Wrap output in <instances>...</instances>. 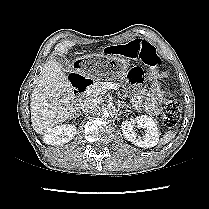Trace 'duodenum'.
Listing matches in <instances>:
<instances>
[{
  "label": "duodenum",
  "instance_id": "410a0bca",
  "mask_svg": "<svg viewBox=\"0 0 209 209\" xmlns=\"http://www.w3.org/2000/svg\"><path fill=\"white\" fill-rule=\"evenodd\" d=\"M70 83L74 95L84 94L90 88L92 81L82 75L73 74L70 76Z\"/></svg>",
  "mask_w": 209,
  "mask_h": 209
}]
</instances>
